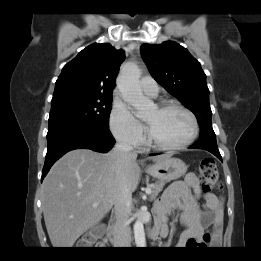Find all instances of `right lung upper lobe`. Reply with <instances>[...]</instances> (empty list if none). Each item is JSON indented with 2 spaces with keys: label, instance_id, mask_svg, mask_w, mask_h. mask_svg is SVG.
Returning a JSON list of instances; mask_svg holds the SVG:
<instances>
[{
  "label": "right lung upper lobe",
  "instance_id": "obj_1",
  "mask_svg": "<svg viewBox=\"0 0 261 261\" xmlns=\"http://www.w3.org/2000/svg\"><path fill=\"white\" fill-rule=\"evenodd\" d=\"M123 51L109 43H94L67 63L58 77L54 94L79 93L112 96Z\"/></svg>",
  "mask_w": 261,
  "mask_h": 261
}]
</instances>
